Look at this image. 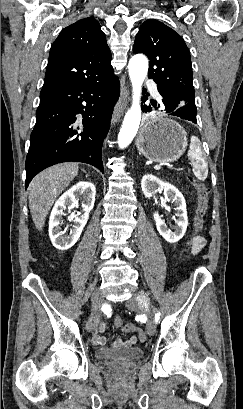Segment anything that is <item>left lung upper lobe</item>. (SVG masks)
I'll return each instance as SVG.
<instances>
[{
	"instance_id": "5c2ea615",
	"label": "left lung upper lobe",
	"mask_w": 243,
	"mask_h": 409,
	"mask_svg": "<svg viewBox=\"0 0 243 409\" xmlns=\"http://www.w3.org/2000/svg\"><path fill=\"white\" fill-rule=\"evenodd\" d=\"M135 53L150 60L148 77L157 88L195 100L189 50L178 33L155 19L145 21L136 34Z\"/></svg>"
}]
</instances>
